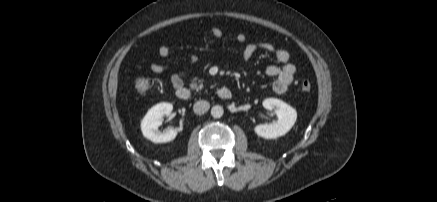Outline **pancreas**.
I'll return each instance as SVG.
<instances>
[{
	"instance_id": "obj_1",
	"label": "pancreas",
	"mask_w": 437,
	"mask_h": 202,
	"mask_svg": "<svg viewBox=\"0 0 437 202\" xmlns=\"http://www.w3.org/2000/svg\"><path fill=\"white\" fill-rule=\"evenodd\" d=\"M190 87L192 89H196L197 91H200L204 88L203 80H198L197 78H194L190 84Z\"/></svg>"
}]
</instances>
